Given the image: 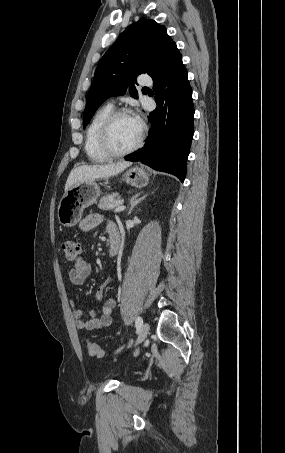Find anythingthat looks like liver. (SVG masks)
Here are the masks:
<instances>
[{"label": "liver", "mask_w": 285, "mask_h": 453, "mask_svg": "<svg viewBox=\"0 0 285 453\" xmlns=\"http://www.w3.org/2000/svg\"><path fill=\"white\" fill-rule=\"evenodd\" d=\"M131 162H119L116 164H107V165H83L74 168L66 181L65 192H67L73 185L91 182L97 179H105L111 176H115L125 170L127 167L131 166Z\"/></svg>", "instance_id": "1"}]
</instances>
